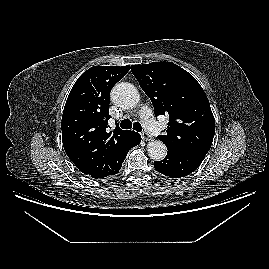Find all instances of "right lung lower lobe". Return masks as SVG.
<instances>
[{"label": "right lung lower lobe", "instance_id": "98d812e1", "mask_svg": "<svg viewBox=\"0 0 269 269\" xmlns=\"http://www.w3.org/2000/svg\"><path fill=\"white\" fill-rule=\"evenodd\" d=\"M140 142H141V136L139 133L134 132V131H128V133L126 135V139L124 140L123 145H122V151H121L122 163H123L128 151L132 147L138 145ZM122 163H121V166H122ZM121 166L119 167V170H120ZM119 170L116 172V174L119 172Z\"/></svg>", "mask_w": 269, "mask_h": 269}]
</instances>
